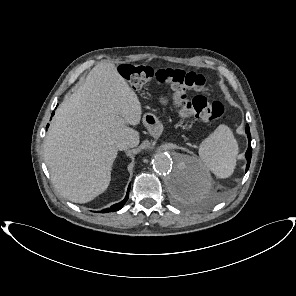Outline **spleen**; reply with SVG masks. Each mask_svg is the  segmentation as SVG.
I'll list each match as a JSON object with an SVG mask.
<instances>
[{"mask_svg":"<svg viewBox=\"0 0 296 296\" xmlns=\"http://www.w3.org/2000/svg\"><path fill=\"white\" fill-rule=\"evenodd\" d=\"M237 154V142L231 129L226 125H219L199 146L200 159L219 178L232 175ZM191 194L199 195L194 192Z\"/></svg>","mask_w":296,"mask_h":296,"instance_id":"3e777b00","label":"spleen"}]
</instances>
